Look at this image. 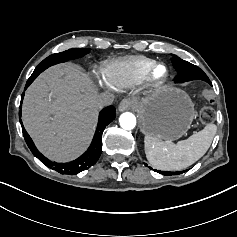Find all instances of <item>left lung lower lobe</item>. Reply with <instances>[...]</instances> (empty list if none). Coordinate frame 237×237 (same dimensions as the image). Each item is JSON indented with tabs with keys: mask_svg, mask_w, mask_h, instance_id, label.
<instances>
[{
	"mask_svg": "<svg viewBox=\"0 0 237 237\" xmlns=\"http://www.w3.org/2000/svg\"><path fill=\"white\" fill-rule=\"evenodd\" d=\"M183 172H185V171H183ZM177 174H179V173H175V175H177Z\"/></svg>",
	"mask_w": 237,
	"mask_h": 237,
	"instance_id": "left-lung-lower-lobe-1",
	"label": "left lung lower lobe"
}]
</instances>
